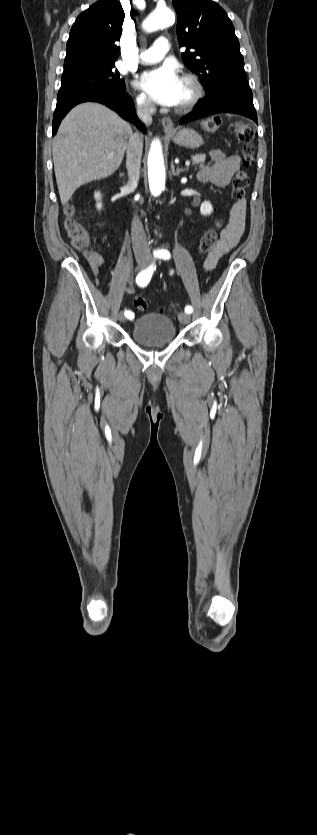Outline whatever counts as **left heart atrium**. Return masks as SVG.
Masks as SVG:
<instances>
[{"label":"left heart atrium","mask_w":317,"mask_h":835,"mask_svg":"<svg viewBox=\"0 0 317 835\" xmlns=\"http://www.w3.org/2000/svg\"><path fill=\"white\" fill-rule=\"evenodd\" d=\"M182 80L171 64L145 72L140 85L150 97L161 105L174 106L179 102Z\"/></svg>","instance_id":"39dd6f15"}]
</instances>
